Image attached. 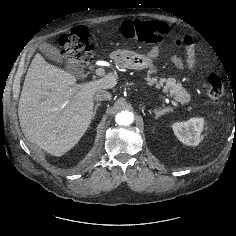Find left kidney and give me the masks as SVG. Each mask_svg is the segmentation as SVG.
Segmentation results:
<instances>
[{
  "mask_svg": "<svg viewBox=\"0 0 236 236\" xmlns=\"http://www.w3.org/2000/svg\"><path fill=\"white\" fill-rule=\"evenodd\" d=\"M204 119L201 117H193L185 122L173 123L172 128L176 137L185 145L197 146L203 136L201 133L204 129Z\"/></svg>",
  "mask_w": 236,
  "mask_h": 236,
  "instance_id": "1",
  "label": "left kidney"
}]
</instances>
